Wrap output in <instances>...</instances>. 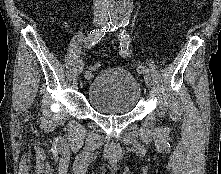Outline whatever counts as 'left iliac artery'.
Wrapping results in <instances>:
<instances>
[{"mask_svg":"<svg viewBox=\"0 0 221 174\" xmlns=\"http://www.w3.org/2000/svg\"><path fill=\"white\" fill-rule=\"evenodd\" d=\"M129 23L128 19H122L121 21H115L114 27L111 31L118 29V27H125ZM130 44V36L127 33L122 34V40L120 43V55L122 57H126L128 55V47ZM138 72H148V68L146 66H139Z\"/></svg>","mask_w":221,"mask_h":174,"instance_id":"1","label":"left iliac artery"}]
</instances>
